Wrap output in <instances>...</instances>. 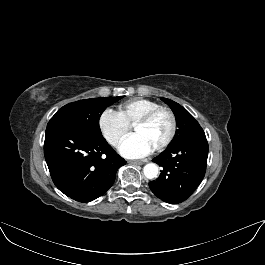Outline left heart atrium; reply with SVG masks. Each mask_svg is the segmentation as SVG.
<instances>
[{
    "label": "left heart atrium",
    "instance_id": "39dd6f15",
    "mask_svg": "<svg viewBox=\"0 0 265 265\" xmlns=\"http://www.w3.org/2000/svg\"><path fill=\"white\" fill-rule=\"evenodd\" d=\"M153 151L150 144L139 134L126 137L119 147L121 155L127 158H141Z\"/></svg>",
    "mask_w": 265,
    "mask_h": 265
}]
</instances>
